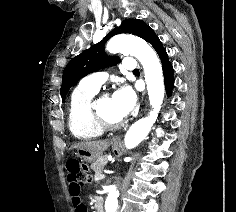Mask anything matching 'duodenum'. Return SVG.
<instances>
[{
	"instance_id": "1",
	"label": "duodenum",
	"mask_w": 236,
	"mask_h": 212,
	"mask_svg": "<svg viewBox=\"0 0 236 212\" xmlns=\"http://www.w3.org/2000/svg\"><path fill=\"white\" fill-rule=\"evenodd\" d=\"M94 203H95L96 212H104L102 197L95 196Z\"/></svg>"
}]
</instances>
